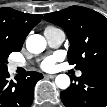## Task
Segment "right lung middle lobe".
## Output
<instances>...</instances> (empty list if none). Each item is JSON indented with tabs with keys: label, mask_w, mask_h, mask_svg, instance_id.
<instances>
[{
	"label": "right lung middle lobe",
	"mask_w": 107,
	"mask_h": 107,
	"mask_svg": "<svg viewBox=\"0 0 107 107\" xmlns=\"http://www.w3.org/2000/svg\"><path fill=\"white\" fill-rule=\"evenodd\" d=\"M10 52L7 50H4L0 52V70L7 69L6 63H8L7 58L9 56Z\"/></svg>",
	"instance_id": "1"
}]
</instances>
